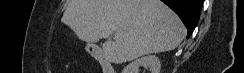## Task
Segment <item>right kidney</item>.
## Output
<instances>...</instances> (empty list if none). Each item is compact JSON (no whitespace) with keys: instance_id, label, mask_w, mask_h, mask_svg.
<instances>
[{"instance_id":"obj_1","label":"right kidney","mask_w":244,"mask_h":73,"mask_svg":"<svg viewBox=\"0 0 244 73\" xmlns=\"http://www.w3.org/2000/svg\"><path fill=\"white\" fill-rule=\"evenodd\" d=\"M140 67L149 69L150 73H159L161 63L155 55H147L129 63L122 73H138Z\"/></svg>"}]
</instances>
